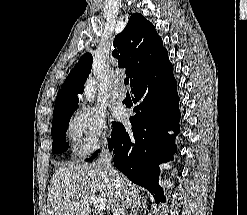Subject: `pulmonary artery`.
<instances>
[{"label": "pulmonary artery", "mask_w": 247, "mask_h": 215, "mask_svg": "<svg viewBox=\"0 0 247 215\" xmlns=\"http://www.w3.org/2000/svg\"><path fill=\"white\" fill-rule=\"evenodd\" d=\"M112 96L120 101L125 99L126 94L124 88L122 87V84L115 85L112 91Z\"/></svg>", "instance_id": "e3ab8cb5"}]
</instances>
